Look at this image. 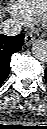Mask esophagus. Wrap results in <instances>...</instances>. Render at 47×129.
<instances>
[{"instance_id":"34e87169","label":"esophagus","mask_w":47,"mask_h":129,"mask_svg":"<svg viewBox=\"0 0 47 129\" xmlns=\"http://www.w3.org/2000/svg\"><path fill=\"white\" fill-rule=\"evenodd\" d=\"M35 38L32 33H27L25 35V45L30 46L34 42Z\"/></svg>"}]
</instances>
